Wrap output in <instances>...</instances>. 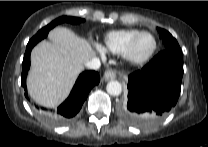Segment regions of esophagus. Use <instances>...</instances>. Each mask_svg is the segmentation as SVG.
I'll return each instance as SVG.
<instances>
[{
    "label": "esophagus",
    "mask_w": 208,
    "mask_h": 147,
    "mask_svg": "<svg viewBox=\"0 0 208 147\" xmlns=\"http://www.w3.org/2000/svg\"><path fill=\"white\" fill-rule=\"evenodd\" d=\"M115 77H116L115 71H113V70H107L104 73L103 79H104V81H109V80L115 79Z\"/></svg>",
    "instance_id": "34e87169"
}]
</instances>
